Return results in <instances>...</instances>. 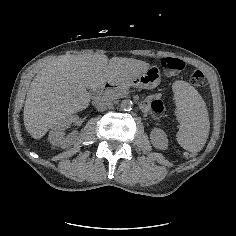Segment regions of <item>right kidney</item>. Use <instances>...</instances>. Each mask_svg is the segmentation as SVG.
Returning <instances> with one entry per match:
<instances>
[{
    "mask_svg": "<svg viewBox=\"0 0 236 236\" xmlns=\"http://www.w3.org/2000/svg\"><path fill=\"white\" fill-rule=\"evenodd\" d=\"M77 119L72 117L63 121L60 127L50 131L48 140L52 146H58L61 149H68L79 145V134L76 131L71 132L68 136L65 135V128L77 123Z\"/></svg>",
    "mask_w": 236,
    "mask_h": 236,
    "instance_id": "obj_1",
    "label": "right kidney"
}]
</instances>
